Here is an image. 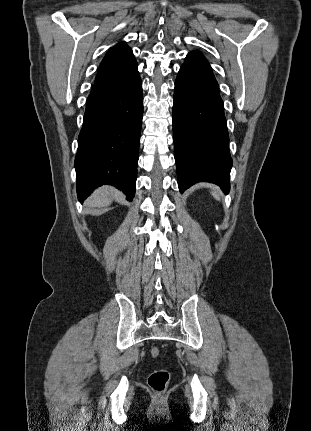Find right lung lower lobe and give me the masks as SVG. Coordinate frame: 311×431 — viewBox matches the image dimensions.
<instances>
[{"label":"right lung lower lobe","instance_id":"98d812e1","mask_svg":"<svg viewBox=\"0 0 311 431\" xmlns=\"http://www.w3.org/2000/svg\"><path fill=\"white\" fill-rule=\"evenodd\" d=\"M143 117L137 65L115 78L95 82L86 104L75 158L77 195L82 202L98 186L114 185L135 195Z\"/></svg>","mask_w":311,"mask_h":431}]
</instances>
